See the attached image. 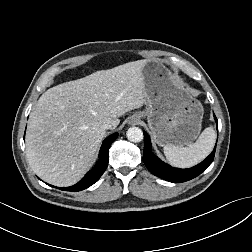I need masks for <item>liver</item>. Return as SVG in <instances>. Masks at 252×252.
Instances as JSON below:
<instances>
[{
    "label": "liver",
    "mask_w": 252,
    "mask_h": 252,
    "mask_svg": "<svg viewBox=\"0 0 252 252\" xmlns=\"http://www.w3.org/2000/svg\"><path fill=\"white\" fill-rule=\"evenodd\" d=\"M145 64L138 60L96 71L40 96L29 117L26 156L42 180L65 187L81 179L106 134L103 122L116 128L120 116L146 104Z\"/></svg>",
    "instance_id": "6515ba94"
}]
</instances>
